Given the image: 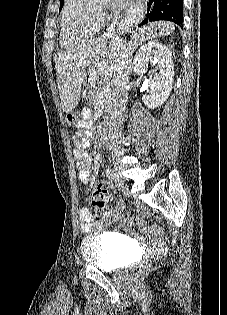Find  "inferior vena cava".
<instances>
[{"label": "inferior vena cava", "instance_id": "inferior-vena-cava-1", "mask_svg": "<svg viewBox=\"0 0 227 315\" xmlns=\"http://www.w3.org/2000/svg\"><path fill=\"white\" fill-rule=\"evenodd\" d=\"M119 13L115 12L110 26L104 36L115 37V30L119 22ZM117 65L114 68L111 81L112 98L110 101V121L108 128V146L112 152L119 149L118 137L123 127L126 105L128 102L129 76L132 70L131 62L128 60L129 52L124 48Z\"/></svg>", "mask_w": 227, "mask_h": 315}]
</instances>
